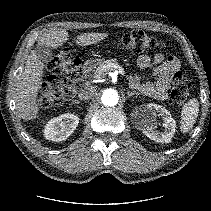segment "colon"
I'll return each instance as SVG.
<instances>
[{
    "label": "colon",
    "mask_w": 211,
    "mask_h": 211,
    "mask_svg": "<svg viewBox=\"0 0 211 211\" xmlns=\"http://www.w3.org/2000/svg\"><path fill=\"white\" fill-rule=\"evenodd\" d=\"M120 44L137 54L166 47L162 40L154 38L142 30L124 34ZM80 66L81 60L78 57H71L67 48H63L47 64L49 74L42 84V101L45 106L60 105L67 97L71 96L68 86L72 77L75 76V70L79 69ZM63 74L67 75L66 83L59 81V76ZM191 87V82L184 73L181 71L175 72L171 99L178 104L183 103L187 99Z\"/></svg>",
    "instance_id": "obj_1"
}]
</instances>
